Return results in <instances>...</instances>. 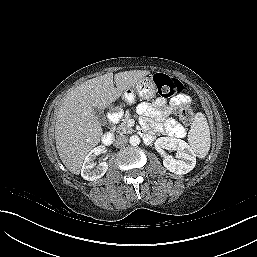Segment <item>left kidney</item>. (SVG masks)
<instances>
[{
    "mask_svg": "<svg viewBox=\"0 0 257 257\" xmlns=\"http://www.w3.org/2000/svg\"><path fill=\"white\" fill-rule=\"evenodd\" d=\"M156 150L163 155V165L172 173L187 174L196 165V156L192 152L188 143L184 140L172 137H160L155 141ZM166 150L177 151L176 158L166 155Z\"/></svg>",
    "mask_w": 257,
    "mask_h": 257,
    "instance_id": "1",
    "label": "left kidney"
}]
</instances>
